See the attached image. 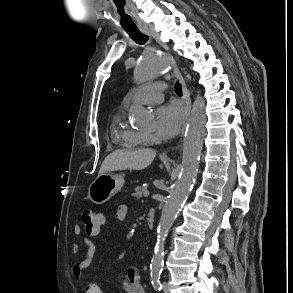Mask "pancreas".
<instances>
[{"mask_svg":"<svg viewBox=\"0 0 293 293\" xmlns=\"http://www.w3.org/2000/svg\"><path fill=\"white\" fill-rule=\"evenodd\" d=\"M144 191H145V188L138 186L135 188V192L132 194V196L134 198L140 199L142 198V194L144 193Z\"/></svg>","mask_w":293,"mask_h":293,"instance_id":"cf45deb5","label":"pancreas"}]
</instances>
